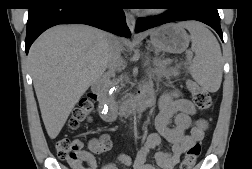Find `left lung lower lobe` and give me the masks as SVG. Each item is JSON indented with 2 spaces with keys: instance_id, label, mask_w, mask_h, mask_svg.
<instances>
[{
  "instance_id": "1",
  "label": "left lung lower lobe",
  "mask_w": 252,
  "mask_h": 169,
  "mask_svg": "<svg viewBox=\"0 0 252 169\" xmlns=\"http://www.w3.org/2000/svg\"><path fill=\"white\" fill-rule=\"evenodd\" d=\"M170 6V10L162 15L137 19L135 31L142 32L174 21L196 20L212 27L223 40L218 7L214 0H173Z\"/></svg>"
}]
</instances>
